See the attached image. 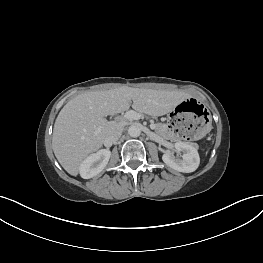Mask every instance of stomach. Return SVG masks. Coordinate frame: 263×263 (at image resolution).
Masks as SVG:
<instances>
[{"label":"stomach","mask_w":263,"mask_h":263,"mask_svg":"<svg viewBox=\"0 0 263 263\" xmlns=\"http://www.w3.org/2000/svg\"><path fill=\"white\" fill-rule=\"evenodd\" d=\"M170 134L181 141H199L206 138L213 127L210 111L199 100L185 98L178 101L167 118Z\"/></svg>","instance_id":"1"}]
</instances>
